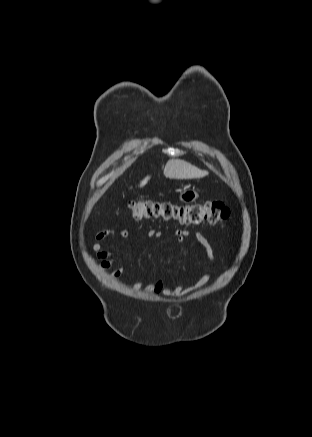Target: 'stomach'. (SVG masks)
Listing matches in <instances>:
<instances>
[{
  "label": "stomach",
  "mask_w": 312,
  "mask_h": 437,
  "mask_svg": "<svg viewBox=\"0 0 312 437\" xmlns=\"http://www.w3.org/2000/svg\"><path fill=\"white\" fill-rule=\"evenodd\" d=\"M199 197V193L195 189L185 188L179 194V199L185 203L195 202Z\"/></svg>",
  "instance_id": "obj_1"
}]
</instances>
